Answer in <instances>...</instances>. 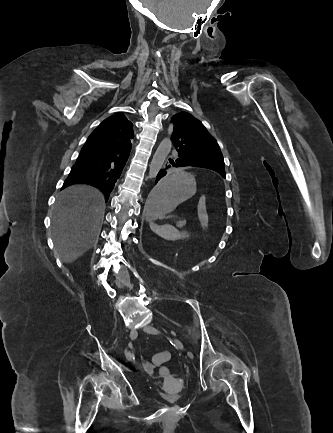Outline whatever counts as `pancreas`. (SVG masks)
<instances>
[{
  "mask_svg": "<svg viewBox=\"0 0 333 433\" xmlns=\"http://www.w3.org/2000/svg\"><path fill=\"white\" fill-rule=\"evenodd\" d=\"M185 222L184 221H179L178 223H177V226L179 227V228H182V227H184L185 226Z\"/></svg>",
  "mask_w": 333,
  "mask_h": 433,
  "instance_id": "obj_1",
  "label": "pancreas"
}]
</instances>
